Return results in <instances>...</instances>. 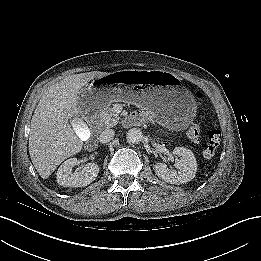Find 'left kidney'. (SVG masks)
Returning a JSON list of instances; mask_svg holds the SVG:
<instances>
[{"label": "left kidney", "mask_w": 261, "mask_h": 261, "mask_svg": "<svg viewBox=\"0 0 261 261\" xmlns=\"http://www.w3.org/2000/svg\"><path fill=\"white\" fill-rule=\"evenodd\" d=\"M176 156L175 167L178 171L168 169L165 163H156L154 170L156 175L170 184H183L191 181L197 172V161L190 149L185 147H176L173 150Z\"/></svg>", "instance_id": "left-kidney-1"}]
</instances>
